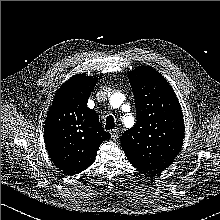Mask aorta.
Here are the masks:
<instances>
[{"instance_id":"obj_1","label":"aorta","mask_w":220,"mask_h":220,"mask_svg":"<svg viewBox=\"0 0 220 220\" xmlns=\"http://www.w3.org/2000/svg\"><path fill=\"white\" fill-rule=\"evenodd\" d=\"M114 96L117 98H123V95L121 93H116Z\"/></svg>"}]
</instances>
